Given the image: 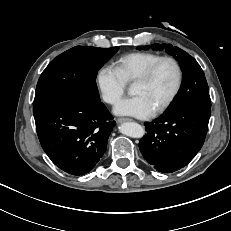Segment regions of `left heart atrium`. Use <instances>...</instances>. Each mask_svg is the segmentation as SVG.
Segmentation results:
<instances>
[{"mask_svg":"<svg viewBox=\"0 0 231 231\" xmlns=\"http://www.w3.org/2000/svg\"><path fill=\"white\" fill-rule=\"evenodd\" d=\"M155 109L141 95L125 98L120 101L114 112L118 115L133 116L137 118H148L154 114Z\"/></svg>","mask_w":231,"mask_h":231,"instance_id":"left-heart-atrium-1","label":"left heart atrium"}]
</instances>
